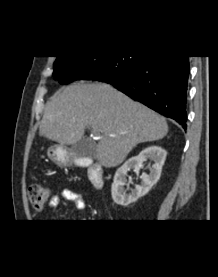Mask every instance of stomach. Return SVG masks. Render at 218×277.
<instances>
[{
    "mask_svg": "<svg viewBox=\"0 0 218 277\" xmlns=\"http://www.w3.org/2000/svg\"><path fill=\"white\" fill-rule=\"evenodd\" d=\"M48 157L58 165L68 166L71 164L67 149L61 145H54L47 150Z\"/></svg>",
    "mask_w": 218,
    "mask_h": 277,
    "instance_id": "0dacf381",
    "label": "stomach"
}]
</instances>
